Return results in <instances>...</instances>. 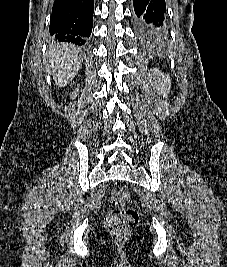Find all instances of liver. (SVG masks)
I'll return each instance as SVG.
<instances>
[{
  "label": "liver",
  "instance_id": "obj_1",
  "mask_svg": "<svg viewBox=\"0 0 227 267\" xmlns=\"http://www.w3.org/2000/svg\"><path fill=\"white\" fill-rule=\"evenodd\" d=\"M48 57L53 80L61 88L72 81L83 62L80 49L71 44H52Z\"/></svg>",
  "mask_w": 227,
  "mask_h": 267
}]
</instances>
